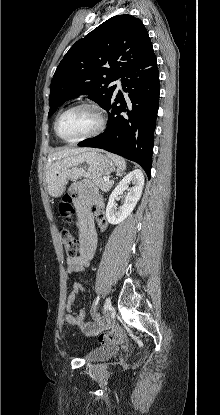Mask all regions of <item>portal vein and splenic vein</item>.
<instances>
[{
	"label": "portal vein and splenic vein",
	"instance_id": "obj_1",
	"mask_svg": "<svg viewBox=\"0 0 220 415\" xmlns=\"http://www.w3.org/2000/svg\"><path fill=\"white\" fill-rule=\"evenodd\" d=\"M104 180H105V181H110V180H109V177H104Z\"/></svg>",
	"mask_w": 220,
	"mask_h": 415
}]
</instances>
